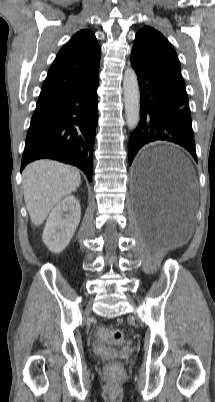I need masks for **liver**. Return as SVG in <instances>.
Instances as JSON below:
<instances>
[{"label":"liver","mask_w":215,"mask_h":402,"mask_svg":"<svg viewBox=\"0 0 215 402\" xmlns=\"http://www.w3.org/2000/svg\"><path fill=\"white\" fill-rule=\"evenodd\" d=\"M22 177L24 201L34 226L41 225L54 206L81 182L76 168L52 160L30 163Z\"/></svg>","instance_id":"6515ba94"}]
</instances>
